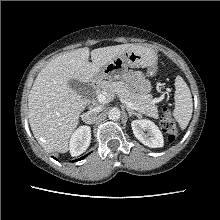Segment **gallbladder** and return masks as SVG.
<instances>
[{
    "label": "gallbladder",
    "mask_w": 220,
    "mask_h": 220,
    "mask_svg": "<svg viewBox=\"0 0 220 220\" xmlns=\"http://www.w3.org/2000/svg\"><path fill=\"white\" fill-rule=\"evenodd\" d=\"M69 85L82 96H85L89 89L87 84L77 80H70Z\"/></svg>",
    "instance_id": "1"
}]
</instances>
